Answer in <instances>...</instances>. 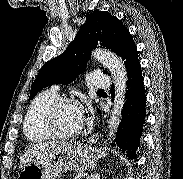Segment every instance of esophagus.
I'll use <instances>...</instances> for the list:
<instances>
[{
  "label": "esophagus",
  "mask_w": 183,
  "mask_h": 179,
  "mask_svg": "<svg viewBox=\"0 0 183 179\" xmlns=\"http://www.w3.org/2000/svg\"><path fill=\"white\" fill-rule=\"evenodd\" d=\"M98 139L97 135H93L91 138H89L90 142H96Z\"/></svg>",
  "instance_id": "esophagus-1"
}]
</instances>
